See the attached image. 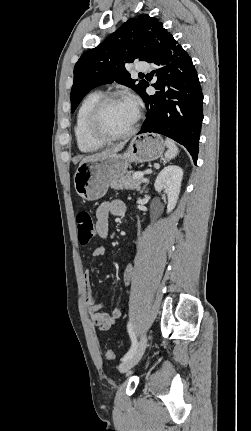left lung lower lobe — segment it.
I'll use <instances>...</instances> for the list:
<instances>
[{
  "label": "left lung lower lobe",
  "instance_id": "obj_1",
  "mask_svg": "<svg viewBox=\"0 0 251 431\" xmlns=\"http://www.w3.org/2000/svg\"><path fill=\"white\" fill-rule=\"evenodd\" d=\"M157 68L155 95L145 87L141 97L147 108V118L139 133L154 132L168 136L184 145L197 161L199 136L203 120V95L198 75L188 53L169 35L159 41L150 60Z\"/></svg>",
  "mask_w": 251,
  "mask_h": 431
}]
</instances>
